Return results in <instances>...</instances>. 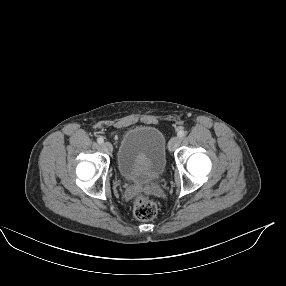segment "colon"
<instances>
[{
	"label": "colon",
	"mask_w": 286,
	"mask_h": 286,
	"mask_svg": "<svg viewBox=\"0 0 286 286\" xmlns=\"http://www.w3.org/2000/svg\"><path fill=\"white\" fill-rule=\"evenodd\" d=\"M133 214L139 220H151L157 214V205L146 196H138L133 201Z\"/></svg>",
	"instance_id": "obj_1"
}]
</instances>
